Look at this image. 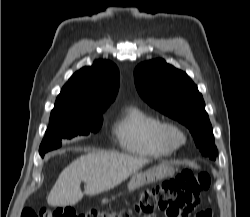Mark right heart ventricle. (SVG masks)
<instances>
[{
  "label": "right heart ventricle",
  "instance_id": "right-heart-ventricle-1",
  "mask_svg": "<svg viewBox=\"0 0 250 217\" xmlns=\"http://www.w3.org/2000/svg\"><path fill=\"white\" fill-rule=\"evenodd\" d=\"M160 124L156 116L129 105L114 121L112 131L121 150L137 156L161 158L169 156L173 149L161 141Z\"/></svg>",
  "mask_w": 250,
  "mask_h": 217
}]
</instances>
